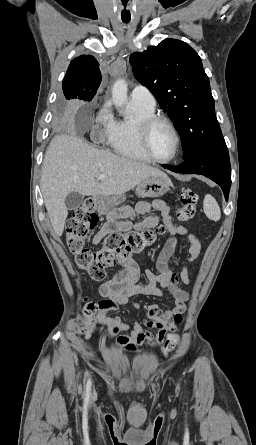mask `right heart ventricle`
<instances>
[{
    "label": "right heart ventricle",
    "instance_id": "right-heart-ventricle-1",
    "mask_svg": "<svg viewBox=\"0 0 256 445\" xmlns=\"http://www.w3.org/2000/svg\"><path fill=\"white\" fill-rule=\"evenodd\" d=\"M132 110L134 114L132 120L115 121L108 144L119 155L134 160L149 161L141 148L136 126L139 120L153 116L154 109H145L132 104Z\"/></svg>",
    "mask_w": 256,
    "mask_h": 445
}]
</instances>
